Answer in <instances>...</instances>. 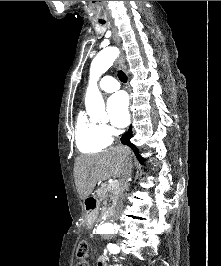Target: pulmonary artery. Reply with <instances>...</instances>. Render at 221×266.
I'll return each mask as SVG.
<instances>
[{
  "mask_svg": "<svg viewBox=\"0 0 221 266\" xmlns=\"http://www.w3.org/2000/svg\"><path fill=\"white\" fill-rule=\"evenodd\" d=\"M119 88H120V85L118 81L111 76H104L99 83V89L106 93L115 92Z\"/></svg>",
  "mask_w": 221,
  "mask_h": 266,
  "instance_id": "pulmonary-artery-1",
  "label": "pulmonary artery"
}]
</instances>
